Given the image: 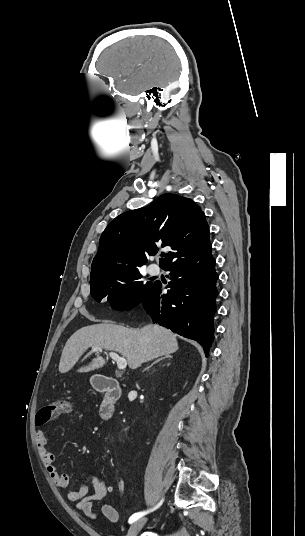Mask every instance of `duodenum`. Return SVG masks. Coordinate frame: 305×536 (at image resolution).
Here are the masks:
<instances>
[{"instance_id":"410a0bca","label":"duodenum","mask_w":305,"mask_h":536,"mask_svg":"<svg viewBox=\"0 0 305 536\" xmlns=\"http://www.w3.org/2000/svg\"><path fill=\"white\" fill-rule=\"evenodd\" d=\"M94 386L105 395L100 407V415L104 420L109 421L115 414V405L121 397V388L115 379L106 376H96Z\"/></svg>"}]
</instances>
